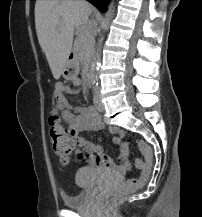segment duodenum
Segmentation results:
<instances>
[{"label":"duodenum","instance_id":"obj_1","mask_svg":"<svg viewBox=\"0 0 202 217\" xmlns=\"http://www.w3.org/2000/svg\"><path fill=\"white\" fill-rule=\"evenodd\" d=\"M69 58H70V60H71V62H72V65H70L69 66V68H68V70H70V71H74V69H75V67H74V63H75V61H76V57H75V54L73 53V52H71L70 54H69ZM86 78H87V82L88 83H91V80H92V75H91V73L88 71L87 72V74H86Z\"/></svg>","mask_w":202,"mask_h":217}]
</instances>
